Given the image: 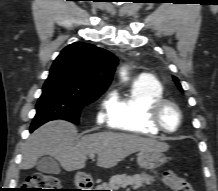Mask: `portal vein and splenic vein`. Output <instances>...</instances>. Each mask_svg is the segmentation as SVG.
<instances>
[{
    "label": "portal vein and splenic vein",
    "mask_w": 218,
    "mask_h": 191,
    "mask_svg": "<svg viewBox=\"0 0 218 191\" xmlns=\"http://www.w3.org/2000/svg\"><path fill=\"white\" fill-rule=\"evenodd\" d=\"M94 157H95V155H94V154H91V155H90V158H91V159H93Z\"/></svg>",
    "instance_id": "18ae733b"
}]
</instances>
